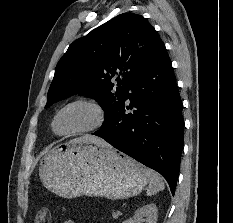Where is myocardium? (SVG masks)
<instances>
[{"instance_id":"obj_1","label":"myocardium","mask_w":233,"mask_h":223,"mask_svg":"<svg viewBox=\"0 0 233 223\" xmlns=\"http://www.w3.org/2000/svg\"><path fill=\"white\" fill-rule=\"evenodd\" d=\"M74 104H86V105L92 106L98 113L99 121L96 126H94L93 128L84 130V131L73 132V133H60L56 128L58 117L67 107L74 105ZM107 119H108L107 111L104 105L99 100L94 99V98H76L74 100L69 101L65 105H63L56 112L51 126H52L53 132L58 136H64V137L85 136V135H90V134L100 131L106 125Z\"/></svg>"}]
</instances>
